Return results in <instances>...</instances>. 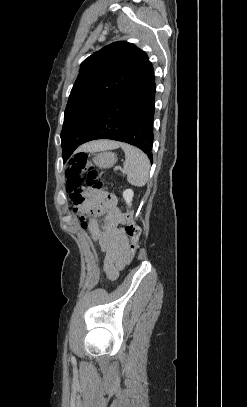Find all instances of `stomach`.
Here are the masks:
<instances>
[{"instance_id": "1", "label": "stomach", "mask_w": 247, "mask_h": 407, "mask_svg": "<svg viewBox=\"0 0 247 407\" xmlns=\"http://www.w3.org/2000/svg\"><path fill=\"white\" fill-rule=\"evenodd\" d=\"M116 162L117 156L111 151H102L93 158V163L101 169L111 168Z\"/></svg>"}]
</instances>
